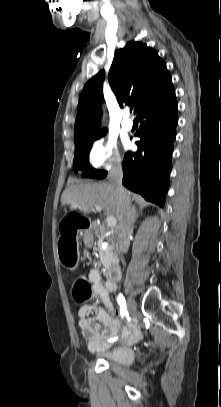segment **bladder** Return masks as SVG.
Masks as SVG:
<instances>
[{
	"mask_svg": "<svg viewBox=\"0 0 221 407\" xmlns=\"http://www.w3.org/2000/svg\"><path fill=\"white\" fill-rule=\"evenodd\" d=\"M103 357L111 363L129 365L134 361L135 352L130 347L120 346L108 351Z\"/></svg>",
	"mask_w": 221,
	"mask_h": 407,
	"instance_id": "obj_1",
	"label": "bladder"
}]
</instances>
